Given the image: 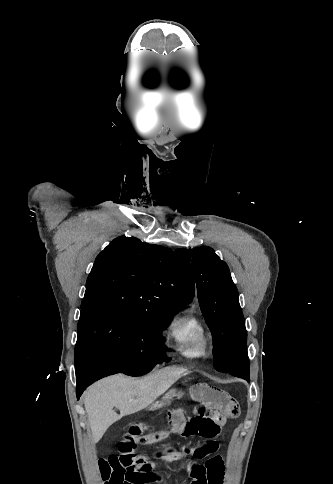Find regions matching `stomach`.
Instances as JSON below:
<instances>
[{"instance_id":"stomach-1","label":"stomach","mask_w":333,"mask_h":484,"mask_svg":"<svg viewBox=\"0 0 333 484\" xmlns=\"http://www.w3.org/2000/svg\"><path fill=\"white\" fill-rule=\"evenodd\" d=\"M182 395L181 391H178L176 389L169 391L165 397L161 401L156 402V404L152 407V409L157 408V407H163V406H168L171 403V400L174 397L180 398Z\"/></svg>"}]
</instances>
